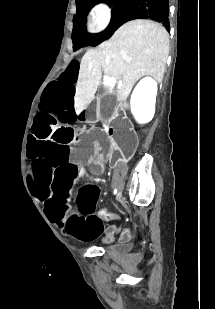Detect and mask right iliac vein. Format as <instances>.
I'll list each match as a JSON object with an SVG mask.
<instances>
[{
    "label": "right iliac vein",
    "instance_id": "63e3f726",
    "mask_svg": "<svg viewBox=\"0 0 215 309\" xmlns=\"http://www.w3.org/2000/svg\"><path fill=\"white\" fill-rule=\"evenodd\" d=\"M121 196H122V192H118V194H117V199H120Z\"/></svg>",
    "mask_w": 215,
    "mask_h": 309
}]
</instances>
